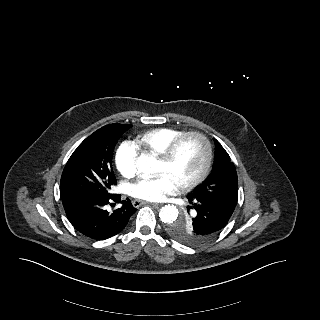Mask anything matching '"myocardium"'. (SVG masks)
I'll list each match as a JSON object with an SVG mask.
<instances>
[{"label":"myocardium","mask_w":320,"mask_h":320,"mask_svg":"<svg viewBox=\"0 0 320 320\" xmlns=\"http://www.w3.org/2000/svg\"><path fill=\"white\" fill-rule=\"evenodd\" d=\"M191 137L199 139L203 145V150H204L203 164H202L201 170L195 177L177 186V190L179 191H186L197 186L208 175L211 164H212V155H213L210 140L205 134L199 131L184 132L180 136H178L176 139H174L165 148V150L159 155V160H161L164 163H170L174 159L182 142L187 138H191Z\"/></svg>","instance_id":"1"}]
</instances>
